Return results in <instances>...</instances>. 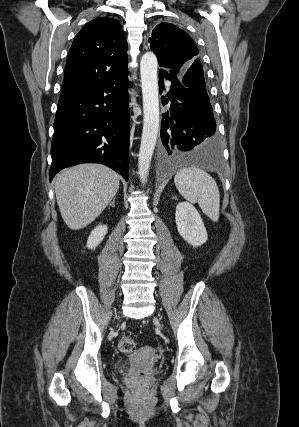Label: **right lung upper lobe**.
<instances>
[{
	"mask_svg": "<svg viewBox=\"0 0 299 427\" xmlns=\"http://www.w3.org/2000/svg\"><path fill=\"white\" fill-rule=\"evenodd\" d=\"M127 62V41L118 21L99 17L88 22L70 48L61 96L119 76Z\"/></svg>",
	"mask_w": 299,
	"mask_h": 427,
	"instance_id": "right-lung-upper-lobe-1",
	"label": "right lung upper lobe"
}]
</instances>
